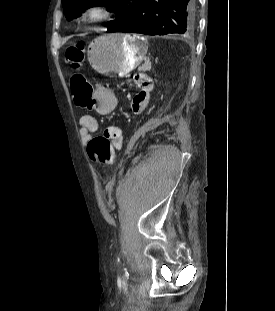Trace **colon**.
Here are the masks:
<instances>
[{"mask_svg":"<svg viewBox=\"0 0 275 311\" xmlns=\"http://www.w3.org/2000/svg\"><path fill=\"white\" fill-rule=\"evenodd\" d=\"M82 44H75L67 48V61L74 67L78 68L83 60ZM71 89L75 104L81 108H87L94 102L93 87L90 82L80 73L71 78ZM113 141L103 135L93 138L87 147V152L91 161L101 168H107L113 161Z\"/></svg>","mask_w":275,"mask_h":311,"instance_id":"5ec220e1","label":"colon"}]
</instances>
